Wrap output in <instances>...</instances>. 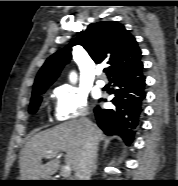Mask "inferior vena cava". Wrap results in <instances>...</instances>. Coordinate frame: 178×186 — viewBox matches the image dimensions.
Here are the masks:
<instances>
[{
	"label": "inferior vena cava",
	"mask_w": 178,
	"mask_h": 186,
	"mask_svg": "<svg viewBox=\"0 0 178 186\" xmlns=\"http://www.w3.org/2000/svg\"><path fill=\"white\" fill-rule=\"evenodd\" d=\"M84 127L85 142L82 157L75 169V180H90L97 155V142L93 135L91 121L84 119Z\"/></svg>",
	"instance_id": "inferior-vena-cava-1"
}]
</instances>
